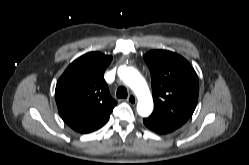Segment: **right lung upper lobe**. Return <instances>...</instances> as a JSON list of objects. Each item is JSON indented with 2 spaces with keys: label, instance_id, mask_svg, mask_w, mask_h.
Segmentation results:
<instances>
[{
  "label": "right lung upper lobe",
  "instance_id": "cb5924a9",
  "mask_svg": "<svg viewBox=\"0 0 249 165\" xmlns=\"http://www.w3.org/2000/svg\"><path fill=\"white\" fill-rule=\"evenodd\" d=\"M111 61L112 56L87 53L73 61L57 82L55 99L59 114L79 133L101 128L117 104L103 77Z\"/></svg>",
  "mask_w": 249,
  "mask_h": 165
}]
</instances>
